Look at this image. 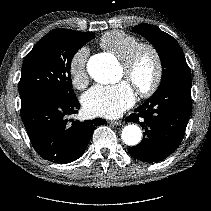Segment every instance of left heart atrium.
Masks as SVG:
<instances>
[{
    "mask_svg": "<svg viewBox=\"0 0 211 211\" xmlns=\"http://www.w3.org/2000/svg\"><path fill=\"white\" fill-rule=\"evenodd\" d=\"M136 100L129 81L115 85H96L82 97L84 111L89 116L115 118L130 108Z\"/></svg>",
    "mask_w": 211,
    "mask_h": 211,
    "instance_id": "left-heart-atrium-1",
    "label": "left heart atrium"
}]
</instances>
